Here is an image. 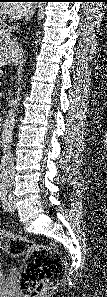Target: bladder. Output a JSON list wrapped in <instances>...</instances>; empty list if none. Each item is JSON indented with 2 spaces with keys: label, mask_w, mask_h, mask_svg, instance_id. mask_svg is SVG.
Masks as SVG:
<instances>
[{
  "label": "bladder",
  "mask_w": 107,
  "mask_h": 297,
  "mask_svg": "<svg viewBox=\"0 0 107 297\" xmlns=\"http://www.w3.org/2000/svg\"><path fill=\"white\" fill-rule=\"evenodd\" d=\"M4 279V273L2 272V270L0 269V280Z\"/></svg>",
  "instance_id": "obj_1"
}]
</instances>
